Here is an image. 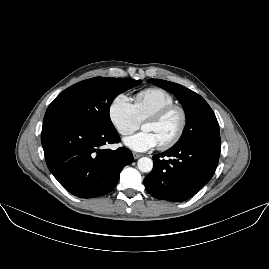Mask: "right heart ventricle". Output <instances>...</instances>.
Returning <instances> with one entry per match:
<instances>
[{
  "label": "right heart ventricle",
  "instance_id": "e07e8e85",
  "mask_svg": "<svg viewBox=\"0 0 269 269\" xmlns=\"http://www.w3.org/2000/svg\"><path fill=\"white\" fill-rule=\"evenodd\" d=\"M175 103L174 97L168 91L161 88H151L136 94L133 98V109L140 121L161 107Z\"/></svg>",
  "mask_w": 269,
  "mask_h": 269
}]
</instances>
